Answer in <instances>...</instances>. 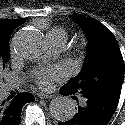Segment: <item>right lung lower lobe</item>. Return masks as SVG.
<instances>
[{
  "mask_svg": "<svg viewBox=\"0 0 125 125\" xmlns=\"http://www.w3.org/2000/svg\"><path fill=\"white\" fill-rule=\"evenodd\" d=\"M8 100L0 99V125H19L23 105L34 101L35 97L30 93H18Z\"/></svg>",
  "mask_w": 125,
  "mask_h": 125,
  "instance_id": "98d812e1",
  "label": "right lung lower lobe"
}]
</instances>
